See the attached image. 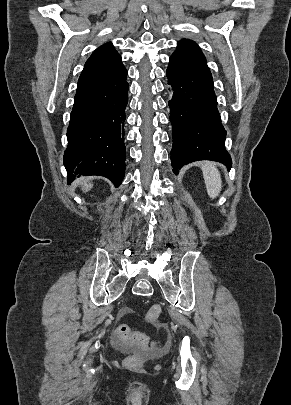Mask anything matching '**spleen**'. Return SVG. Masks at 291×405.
<instances>
[{"label":"spleen","mask_w":291,"mask_h":405,"mask_svg":"<svg viewBox=\"0 0 291 405\" xmlns=\"http://www.w3.org/2000/svg\"><path fill=\"white\" fill-rule=\"evenodd\" d=\"M203 176L210 198H216L222 189L221 175L214 164L204 162L202 164Z\"/></svg>","instance_id":"obj_1"}]
</instances>
